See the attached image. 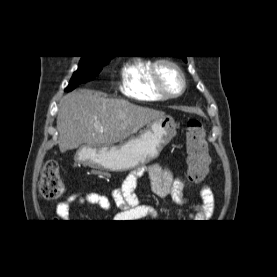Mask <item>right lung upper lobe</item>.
<instances>
[{"label":"right lung upper lobe","mask_w":277,"mask_h":277,"mask_svg":"<svg viewBox=\"0 0 277 277\" xmlns=\"http://www.w3.org/2000/svg\"><path fill=\"white\" fill-rule=\"evenodd\" d=\"M88 57V56H86ZM93 57H113V56H93Z\"/></svg>","instance_id":"obj_1"}]
</instances>
